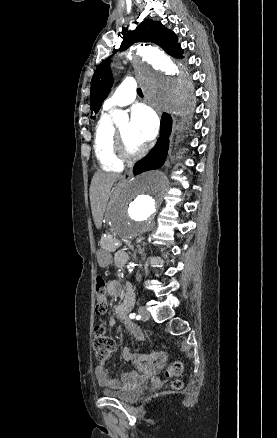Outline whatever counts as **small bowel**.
<instances>
[{
  "mask_svg": "<svg viewBox=\"0 0 277 438\" xmlns=\"http://www.w3.org/2000/svg\"><path fill=\"white\" fill-rule=\"evenodd\" d=\"M107 293L109 296L116 297L121 293L119 284L116 281H110L107 285ZM135 304V292L131 285H128L124 291L123 300L116 305L115 313L118 318L123 319L125 314L130 312ZM116 317H109L107 326L113 328L116 325ZM126 330L131 332L138 340L143 339V335L138 326L131 321H123ZM125 360L132 361L135 365V371L122 374L120 379L112 378L109 375L108 362L104 359L100 360L95 367V375L100 386L113 389L128 391L135 387L141 380L143 374L149 370L148 364L154 360H158L163 364L166 362L167 356L164 352H153L150 354H133L129 347H125L122 352Z\"/></svg>",
  "mask_w": 277,
  "mask_h": 438,
  "instance_id": "c3829d8e",
  "label": "small bowel"
}]
</instances>
